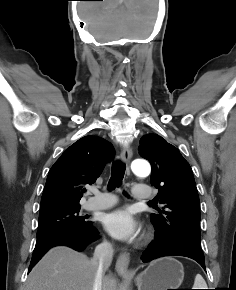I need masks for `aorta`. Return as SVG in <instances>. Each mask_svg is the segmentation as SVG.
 <instances>
[{"label": "aorta", "instance_id": "obj_1", "mask_svg": "<svg viewBox=\"0 0 236 290\" xmlns=\"http://www.w3.org/2000/svg\"><path fill=\"white\" fill-rule=\"evenodd\" d=\"M132 170L134 174L138 177H147L150 172L151 168L148 162L143 160H136L132 163Z\"/></svg>", "mask_w": 236, "mask_h": 290}]
</instances>
